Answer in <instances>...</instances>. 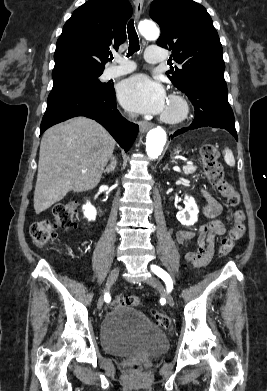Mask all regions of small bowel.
I'll return each instance as SVG.
<instances>
[{
  "mask_svg": "<svg viewBox=\"0 0 267 391\" xmlns=\"http://www.w3.org/2000/svg\"><path fill=\"white\" fill-rule=\"evenodd\" d=\"M202 193L206 201L203 213L209 219L208 222L200 226L197 231L181 230L176 234L179 244L196 238L198 250L186 253L185 258L197 268L205 267L210 262L215 253L217 236L223 235L226 231V225L220 218L221 204L209 191L202 190Z\"/></svg>",
  "mask_w": 267,
  "mask_h": 391,
  "instance_id": "small-bowel-1",
  "label": "small bowel"
}]
</instances>
